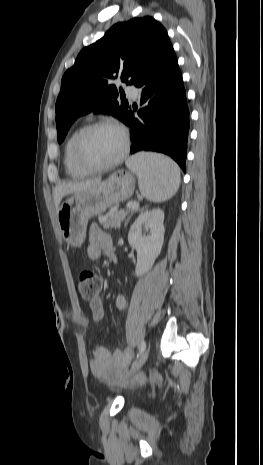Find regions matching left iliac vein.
Returning a JSON list of instances; mask_svg holds the SVG:
<instances>
[{"instance_id":"obj_1","label":"left iliac vein","mask_w":263,"mask_h":465,"mask_svg":"<svg viewBox=\"0 0 263 465\" xmlns=\"http://www.w3.org/2000/svg\"><path fill=\"white\" fill-rule=\"evenodd\" d=\"M148 357H149V349H146L140 355V357L133 363L131 369L126 374L125 378H128L131 375H133L135 372H137L144 365V363L147 361Z\"/></svg>"}]
</instances>
